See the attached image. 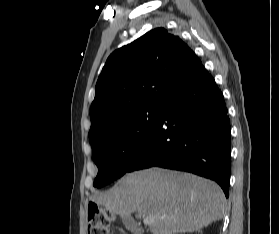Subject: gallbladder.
I'll return each mask as SVG.
<instances>
[{
	"label": "gallbladder",
	"mask_w": 279,
	"mask_h": 234,
	"mask_svg": "<svg viewBox=\"0 0 279 234\" xmlns=\"http://www.w3.org/2000/svg\"><path fill=\"white\" fill-rule=\"evenodd\" d=\"M122 221L129 231L133 232L134 234L138 233V227L136 226L134 219L130 215L123 216Z\"/></svg>",
	"instance_id": "obj_1"
}]
</instances>
